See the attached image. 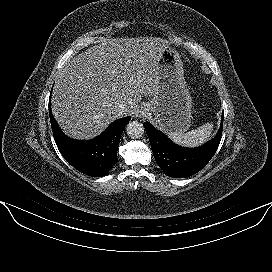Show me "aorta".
I'll return each mask as SVG.
<instances>
[{
    "label": "aorta",
    "instance_id": "762f6f07",
    "mask_svg": "<svg viewBox=\"0 0 272 272\" xmlns=\"http://www.w3.org/2000/svg\"><path fill=\"white\" fill-rule=\"evenodd\" d=\"M126 132L133 139L140 138L144 133L143 124L139 121H131L126 126Z\"/></svg>",
    "mask_w": 272,
    "mask_h": 272
}]
</instances>
